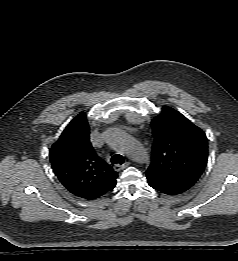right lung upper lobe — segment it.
Masks as SVG:
<instances>
[{
  "mask_svg": "<svg viewBox=\"0 0 238 261\" xmlns=\"http://www.w3.org/2000/svg\"><path fill=\"white\" fill-rule=\"evenodd\" d=\"M89 134L85 113L81 112L53 144L49 156L63 186L77 197L93 200L115 187L118 173L97 155Z\"/></svg>",
  "mask_w": 238,
  "mask_h": 261,
  "instance_id": "1",
  "label": "right lung upper lobe"
}]
</instances>
